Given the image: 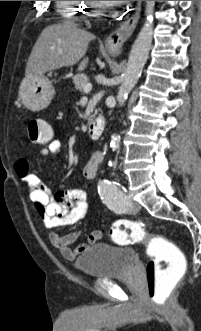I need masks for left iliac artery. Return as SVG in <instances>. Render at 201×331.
Returning a JSON list of instances; mask_svg holds the SVG:
<instances>
[{
	"instance_id": "obj_1",
	"label": "left iliac artery",
	"mask_w": 201,
	"mask_h": 331,
	"mask_svg": "<svg viewBox=\"0 0 201 331\" xmlns=\"http://www.w3.org/2000/svg\"><path fill=\"white\" fill-rule=\"evenodd\" d=\"M98 192L103 202L116 213H124L131 206V200L126 190L116 182L106 179L99 180Z\"/></svg>"
}]
</instances>
